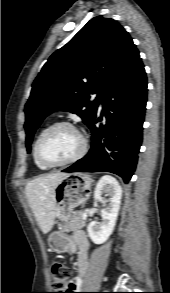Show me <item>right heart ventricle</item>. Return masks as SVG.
Segmentation results:
<instances>
[{"mask_svg":"<svg viewBox=\"0 0 170 293\" xmlns=\"http://www.w3.org/2000/svg\"><path fill=\"white\" fill-rule=\"evenodd\" d=\"M45 129H46V127L43 128V129L40 131V133L38 134V136H37V138H36V140H35V142H34V144H33V158H34L35 164H36V166H37L39 169H42V170H47V169H49V168H47V167L41 165V164L37 161V159H36V157H35V147H36V143H37V140H38L39 136L41 135V133H42Z\"/></svg>","mask_w":170,"mask_h":293,"instance_id":"e07e8e85","label":"right heart ventricle"}]
</instances>
